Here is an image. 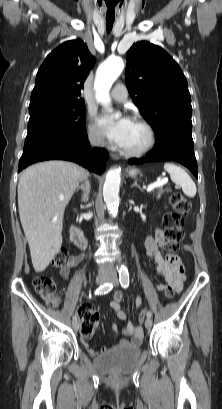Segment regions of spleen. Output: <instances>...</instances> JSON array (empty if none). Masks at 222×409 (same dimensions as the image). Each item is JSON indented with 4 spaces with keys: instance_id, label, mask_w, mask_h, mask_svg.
Returning <instances> with one entry per match:
<instances>
[{
    "instance_id": "spleen-1",
    "label": "spleen",
    "mask_w": 222,
    "mask_h": 409,
    "mask_svg": "<svg viewBox=\"0 0 222 409\" xmlns=\"http://www.w3.org/2000/svg\"><path fill=\"white\" fill-rule=\"evenodd\" d=\"M164 169L170 174L171 180L182 188L186 196L194 197L196 195V185L184 169L173 163H166Z\"/></svg>"
}]
</instances>
